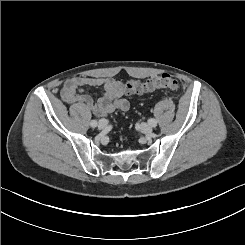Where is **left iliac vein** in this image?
<instances>
[{
  "label": "left iliac vein",
  "mask_w": 245,
  "mask_h": 245,
  "mask_svg": "<svg viewBox=\"0 0 245 245\" xmlns=\"http://www.w3.org/2000/svg\"><path fill=\"white\" fill-rule=\"evenodd\" d=\"M152 128L153 127L151 125L146 124V123L141 125V131L144 133H147V134H150L152 132V130H153Z\"/></svg>",
  "instance_id": "obj_1"
}]
</instances>
